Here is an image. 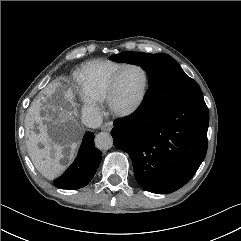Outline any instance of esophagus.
<instances>
[{
	"mask_svg": "<svg viewBox=\"0 0 241 241\" xmlns=\"http://www.w3.org/2000/svg\"><path fill=\"white\" fill-rule=\"evenodd\" d=\"M113 128V124L111 122H107L104 125H102L101 130L103 131H111V129Z\"/></svg>",
	"mask_w": 241,
	"mask_h": 241,
	"instance_id": "esophagus-1",
	"label": "esophagus"
}]
</instances>
